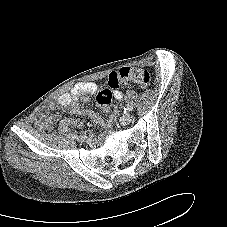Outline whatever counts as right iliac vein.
<instances>
[{
	"label": "right iliac vein",
	"mask_w": 227,
	"mask_h": 227,
	"mask_svg": "<svg viewBox=\"0 0 227 227\" xmlns=\"http://www.w3.org/2000/svg\"><path fill=\"white\" fill-rule=\"evenodd\" d=\"M77 141L80 142V143H83L85 141V137L83 135H79L77 137Z\"/></svg>",
	"instance_id": "63e3f726"
}]
</instances>
